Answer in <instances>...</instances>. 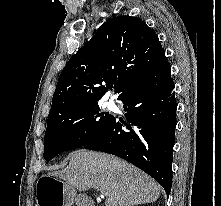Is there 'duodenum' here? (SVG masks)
Here are the masks:
<instances>
[{"mask_svg":"<svg viewBox=\"0 0 221 206\" xmlns=\"http://www.w3.org/2000/svg\"><path fill=\"white\" fill-rule=\"evenodd\" d=\"M88 206H93V203L90 202Z\"/></svg>","mask_w":221,"mask_h":206,"instance_id":"1","label":"duodenum"}]
</instances>
